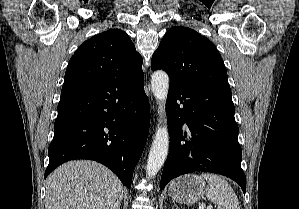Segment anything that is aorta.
I'll list each match as a JSON object with an SVG mask.
<instances>
[{"label": "aorta", "instance_id": "762f6f07", "mask_svg": "<svg viewBox=\"0 0 299 209\" xmlns=\"http://www.w3.org/2000/svg\"><path fill=\"white\" fill-rule=\"evenodd\" d=\"M151 88L158 104L159 124L149 152L146 173L154 177L164 165L169 150V133L166 124L165 103L169 89V76L162 70L151 76Z\"/></svg>", "mask_w": 299, "mask_h": 209}]
</instances>
